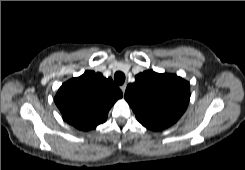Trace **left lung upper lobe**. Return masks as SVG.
<instances>
[{"instance_id": "left-lung-upper-lobe-1", "label": "left lung upper lobe", "mask_w": 245, "mask_h": 170, "mask_svg": "<svg viewBox=\"0 0 245 170\" xmlns=\"http://www.w3.org/2000/svg\"><path fill=\"white\" fill-rule=\"evenodd\" d=\"M125 99L143 126L160 131L185 112L190 85L177 75L148 70L136 75L135 82L127 86Z\"/></svg>"}]
</instances>
